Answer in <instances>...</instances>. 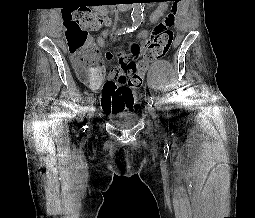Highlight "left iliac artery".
Here are the masks:
<instances>
[{"mask_svg": "<svg viewBox=\"0 0 255 218\" xmlns=\"http://www.w3.org/2000/svg\"><path fill=\"white\" fill-rule=\"evenodd\" d=\"M148 104L152 105L153 104V100L152 98H148Z\"/></svg>", "mask_w": 255, "mask_h": 218, "instance_id": "left-iliac-artery-1", "label": "left iliac artery"}]
</instances>
